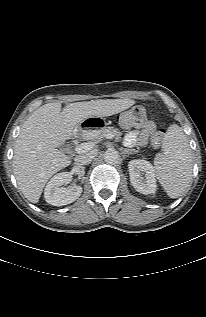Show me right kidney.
Segmentation results:
<instances>
[{
  "label": "right kidney",
  "mask_w": 206,
  "mask_h": 317,
  "mask_svg": "<svg viewBox=\"0 0 206 317\" xmlns=\"http://www.w3.org/2000/svg\"><path fill=\"white\" fill-rule=\"evenodd\" d=\"M69 172L57 173L47 183L44 198L47 203L54 206H63L74 202L82 193V187L74 185L70 187H61L70 180Z\"/></svg>",
  "instance_id": "obj_1"
}]
</instances>
